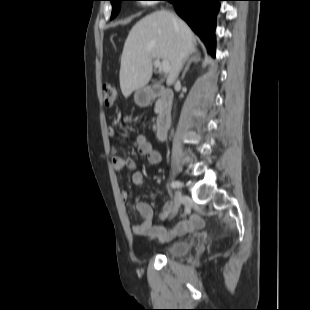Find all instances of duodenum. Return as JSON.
<instances>
[{
	"label": "duodenum",
	"mask_w": 310,
	"mask_h": 310,
	"mask_svg": "<svg viewBox=\"0 0 310 310\" xmlns=\"http://www.w3.org/2000/svg\"><path fill=\"white\" fill-rule=\"evenodd\" d=\"M143 102L149 103L158 98V116L155 136L159 141L164 140L172 122L173 93L161 86H154L147 93L142 94Z\"/></svg>",
	"instance_id": "obj_1"
}]
</instances>
